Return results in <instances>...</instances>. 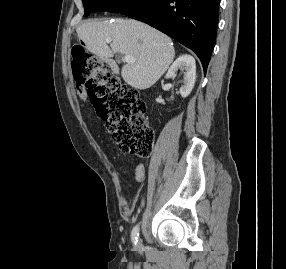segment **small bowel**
I'll list each match as a JSON object with an SVG mask.
<instances>
[{"instance_id":"small-bowel-1","label":"small bowel","mask_w":286,"mask_h":269,"mask_svg":"<svg viewBox=\"0 0 286 269\" xmlns=\"http://www.w3.org/2000/svg\"><path fill=\"white\" fill-rule=\"evenodd\" d=\"M80 93L82 95H84V93L82 91H80ZM145 167L143 164H138L135 168V180L136 182L140 183L144 180L145 178Z\"/></svg>"}]
</instances>
